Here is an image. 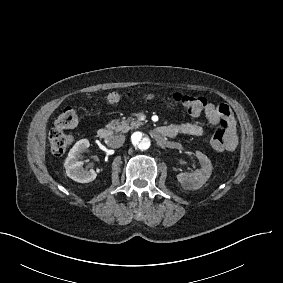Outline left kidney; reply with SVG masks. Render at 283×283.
<instances>
[{"label":"left kidney","instance_id":"obj_1","mask_svg":"<svg viewBox=\"0 0 283 283\" xmlns=\"http://www.w3.org/2000/svg\"><path fill=\"white\" fill-rule=\"evenodd\" d=\"M201 169H197L192 173L182 172L177 175V180L186 190H197L201 188L210 178L212 173V164L209 158L200 151H196Z\"/></svg>","mask_w":283,"mask_h":283}]
</instances>
